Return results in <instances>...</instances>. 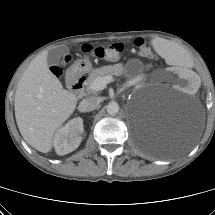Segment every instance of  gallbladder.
Listing matches in <instances>:
<instances>
[{
  "label": "gallbladder",
  "instance_id": "gallbladder-1",
  "mask_svg": "<svg viewBox=\"0 0 215 215\" xmlns=\"http://www.w3.org/2000/svg\"><path fill=\"white\" fill-rule=\"evenodd\" d=\"M69 53L67 46H60L48 52L47 63L49 66L59 65L61 60Z\"/></svg>",
  "mask_w": 215,
  "mask_h": 215
}]
</instances>
